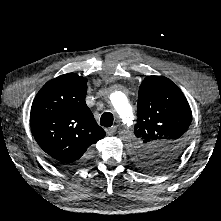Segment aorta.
Wrapping results in <instances>:
<instances>
[{"label":"aorta","instance_id":"aorta-1","mask_svg":"<svg viewBox=\"0 0 221 221\" xmlns=\"http://www.w3.org/2000/svg\"><path fill=\"white\" fill-rule=\"evenodd\" d=\"M112 104L127 130L134 125L135 116L128 98L122 92L113 93Z\"/></svg>","mask_w":221,"mask_h":221}]
</instances>
